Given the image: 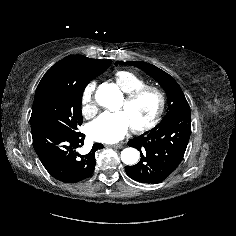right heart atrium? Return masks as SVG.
<instances>
[{
	"label": "right heart atrium",
	"instance_id": "obj_1",
	"mask_svg": "<svg viewBox=\"0 0 236 236\" xmlns=\"http://www.w3.org/2000/svg\"><path fill=\"white\" fill-rule=\"evenodd\" d=\"M95 83H90L82 94V113L86 117H92L97 112V104L94 100Z\"/></svg>",
	"mask_w": 236,
	"mask_h": 236
}]
</instances>
